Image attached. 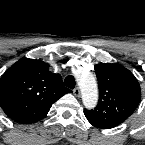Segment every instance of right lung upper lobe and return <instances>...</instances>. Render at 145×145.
<instances>
[{
	"instance_id": "1",
	"label": "right lung upper lobe",
	"mask_w": 145,
	"mask_h": 145,
	"mask_svg": "<svg viewBox=\"0 0 145 145\" xmlns=\"http://www.w3.org/2000/svg\"><path fill=\"white\" fill-rule=\"evenodd\" d=\"M71 90L49 64L24 58L0 78V106L16 122L31 124L43 119L53 103Z\"/></svg>"
}]
</instances>
